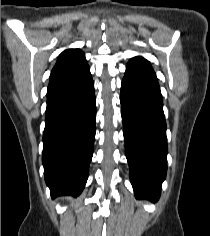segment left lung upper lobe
<instances>
[{
    "label": "left lung upper lobe",
    "mask_w": 210,
    "mask_h": 236,
    "mask_svg": "<svg viewBox=\"0 0 210 236\" xmlns=\"http://www.w3.org/2000/svg\"><path fill=\"white\" fill-rule=\"evenodd\" d=\"M131 60H135V61H146L144 58L142 57H135V58H132Z\"/></svg>",
    "instance_id": "5c2ea615"
}]
</instances>
